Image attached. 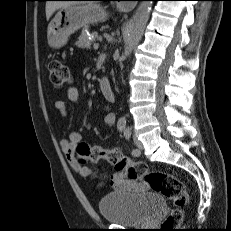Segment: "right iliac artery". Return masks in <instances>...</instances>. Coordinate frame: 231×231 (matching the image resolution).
<instances>
[{
    "instance_id": "right-iliac-artery-1",
    "label": "right iliac artery",
    "mask_w": 231,
    "mask_h": 231,
    "mask_svg": "<svg viewBox=\"0 0 231 231\" xmlns=\"http://www.w3.org/2000/svg\"><path fill=\"white\" fill-rule=\"evenodd\" d=\"M125 126H126V121L123 119H120L117 123L118 130L122 132L125 129Z\"/></svg>"
}]
</instances>
